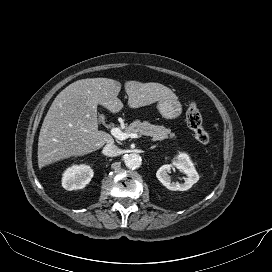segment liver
Returning <instances> with one entry per match:
<instances>
[{
  "label": "liver",
  "instance_id": "6515ba94",
  "mask_svg": "<svg viewBox=\"0 0 272 272\" xmlns=\"http://www.w3.org/2000/svg\"><path fill=\"white\" fill-rule=\"evenodd\" d=\"M121 83L109 78L75 81L54 99L43 121L38 140V166L89 154L112 144L114 139L98 130L97 106L118 113L123 103L118 98ZM128 106L136 109L157 101L175 99L168 87L155 82L127 81Z\"/></svg>",
  "mask_w": 272,
  "mask_h": 272
}]
</instances>
